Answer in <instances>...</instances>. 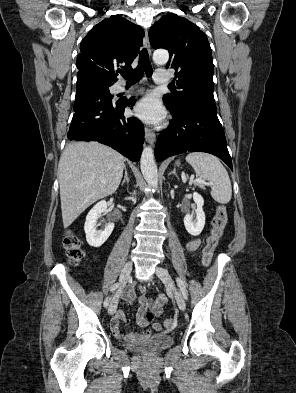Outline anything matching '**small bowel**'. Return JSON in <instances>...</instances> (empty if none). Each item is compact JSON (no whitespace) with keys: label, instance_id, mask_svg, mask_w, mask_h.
Returning <instances> with one entry per match:
<instances>
[{"label":"small bowel","instance_id":"c3829d8e","mask_svg":"<svg viewBox=\"0 0 296 393\" xmlns=\"http://www.w3.org/2000/svg\"><path fill=\"white\" fill-rule=\"evenodd\" d=\"M200 243L201 241L197 238L191 239L188 241L186 247L189 251H194L200 246ZM144 291L145 289L143 287L137 286L136 284H131L122 292V297L125 300L129 302H134L136 300L139 301L141 310L137 313V321L141 327H146L149 324L143 318V313L145 311H151L155 314V316L158 317L162 314L164 305L167 302V298L164 294H159L156 298H147L143 295H137L138 292L143 293ZM124 320V311L120 308L116 309L115 316L111 322V329L117 337H124L127 341H140L146 340L151 336L152 332L148 329L140 332L124 334L123 330L120 328V322ZM151 329L153 331H159L161 329L160 323H153Z\"/></svg>","mask_w":296,"mask_h":393}]
</instances>
